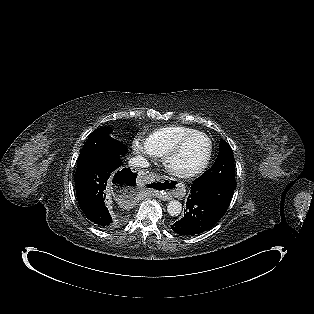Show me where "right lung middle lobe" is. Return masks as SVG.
I'll list each match as a JSON object with an SVG mask.
<instances>
[{"mask_svg":"<svg viewBox=\"0 0 314 314\" xmlns=\"http://www.w3.org/2000/svg\"><path fill=\"white\" fill-rule=\"evenodd\" d=\"M111 132L110 127H101L90 134L80 152L76 171L113 155H123L127 152L128 149L122 142L110 136Z\"/></svg>","mask_w":314,"mask_h":314,"instance_id":"right-lung-middle-lobe-1","label":"right lung middle lobe"}]
</instances>
